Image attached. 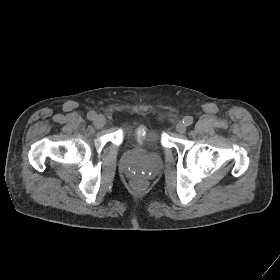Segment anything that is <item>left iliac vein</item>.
Returning <instances> with one entry per match:
<instances>
[{
	"label": "left iliac vein",
	"instance_id": "left-iliac-vein-1",
	"mask_svg": "<svg viewBox=\"0 0 280 280\" xmlns=\"http://www.w3.org/2000/svg\"><path fill=\"white\" fill-rule=\"evenodd\" d=\"M186 125L182 122V121H179L177 124H176V130L178 133L180 134H183L186 132Z\"/></svg>",
	"mask_w": 280,
	"mask_h": 280
}]
</instances>
